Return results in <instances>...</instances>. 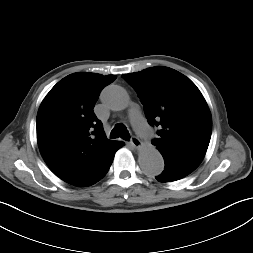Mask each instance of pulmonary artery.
<instances>
[{"label":"pulmonary artery","mask_w":253,"mask_h":253,"mask_svg":"<svg viewBox=\"0 0 253 253\" xmlns=\"http://www.w3.org/2000/svg\"><path fill=\"white\" fill-rule=\"evenodd\" d=\"M135 117H139V114L136 111H134V113L132 114V118H135Z\"/></svg>","instance_id":"pulmonary-artery-1"}]
</instances>
